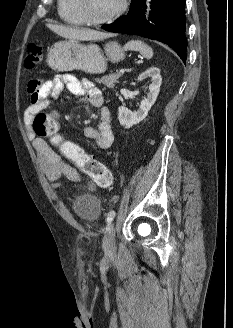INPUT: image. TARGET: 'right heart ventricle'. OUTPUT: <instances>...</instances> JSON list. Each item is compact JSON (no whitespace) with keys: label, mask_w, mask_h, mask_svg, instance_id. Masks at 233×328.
I'll list each match as a JSON object with an SVG mask.
<instances>
[{"label":"right heart ventricle","mask_w":233,"mask_h":328,"mask_svg":"<svg viewBox=\"0 0 233 328\" xmlns=\"http://www.w3.org/2000/svg\"><path fill=\"white\" fill-rule=\"evenodd\" d=\"M59 17L66 23L83 25L85 20L76 7L75 0H58Z\"/></svg>","instance_id":"right-heart-ventricle-1"}]
</instances>
